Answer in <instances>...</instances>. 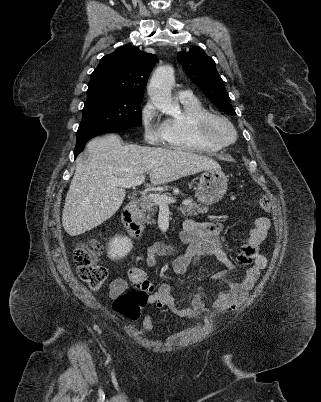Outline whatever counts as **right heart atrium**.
I'll return each instance as SVG.
<instances>
[{"label": "right heart atrium", "mask_w": 321, "mask_h": 402, "mask_svg": "<svg viewBox=\"0 0 321 402\" xmlns=\"http://www.w3.org/2000/svg\"><path fill=\"white\" fill-rule=\"evenodd\" d=\"M158 110L148 101L142 108L140 120L145 140L150 144H159L164 139L163 123L158 122Z\"/></svg>", "instance_id": "1"}]
</instances>
